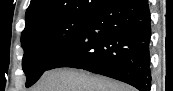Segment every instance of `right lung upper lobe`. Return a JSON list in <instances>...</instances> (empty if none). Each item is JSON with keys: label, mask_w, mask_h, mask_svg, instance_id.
<instances>
[{"label": "right lung upper lobe", "mask_w": 173, "mask_h": 91, "mask_svg": "<svg viewBox=\"0 0 173 91\" xmlns=\"http://www.w3.org/2000/svg\"><path fill=\"white\" fill-rule=\"evenodd\" d=\"M105 1L106 0H31L25 15V28L52 18L95 12Z\"/></svg>", "instance_id": "cb5924a9"}]
</instances>
